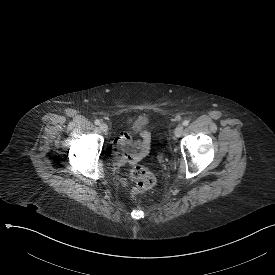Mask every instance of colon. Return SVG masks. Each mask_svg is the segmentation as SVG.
Here are the masks:
<instances>
[{
	"mask_svg": "<svg viewBox=\"0 0 275 275\" xmlns=\"http://www.w3.org/2000/svg\"><path fill=\"white\" fill-rule=\"evenodd\" d=\"M131 179L134 181L132 194H140L150 190L155 184L154 174L145 167L135 166L130 171Z\"/></svg>",
	"mask_w": 275,
	"mask_h": 275,
	"instance_id": "1",
	"label": "colon"
}]
</instances>
